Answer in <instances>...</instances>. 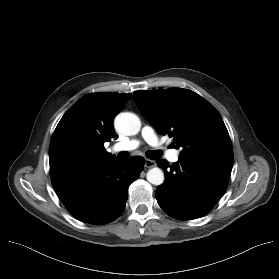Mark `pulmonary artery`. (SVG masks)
<instances>
[{"mask_svg":"<svg viewBox=\"0 0 279 279\" xmlns=\"http://www.w3.org/2000/svg\"><path fill=\"white\" fill-rule=\"evenodd\" d=\"M141 138L149 145L156 147L157 149H162V146L158 140V137L151 126H144L141 131ZM141 145V140L132 139L123 143L115 144L112 147L113 151H122V150H133L138 148ZM179 150H171L167 153V157L170 162H177L179 160Z\"/></svg>","mask_w":279,"mask_h":279,"instance_id":"1","label":"pulmonary artery"}]
</instances>
